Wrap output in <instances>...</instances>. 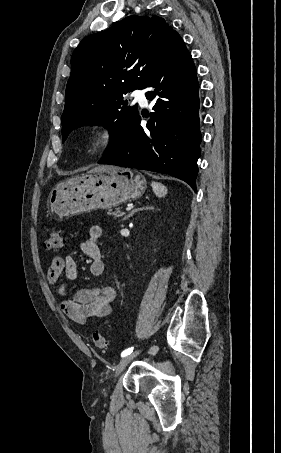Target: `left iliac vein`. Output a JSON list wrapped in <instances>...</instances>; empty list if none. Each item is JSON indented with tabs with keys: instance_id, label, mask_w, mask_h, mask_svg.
Instances as JSON below:
<instances>
[{
	"instance_id": "obj_1",
	"label": "left iliac vein",
	"mask_w": 281,
	"mask_h": 453,
	"mask_svg": "<svg viewBox=\"0 0 281 453\" xmlns=\"http://www.w3.org/2000/svg\"><path fill=\"white\" fill-rule=\"evenodd\" d=\"M136 356L137 355L134 353L131 355H127V357H122L120 363H118L116 366L117 370L115 372L118 374L121 370L124 369V367H126V365H128V362H130Z\"/></svg>"
}]
</instances>
